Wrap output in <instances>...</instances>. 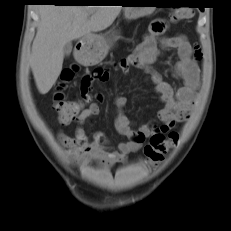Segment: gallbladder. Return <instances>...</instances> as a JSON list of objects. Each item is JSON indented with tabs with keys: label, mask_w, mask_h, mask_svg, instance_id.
I'll use <instances>...</instances> for the list:
<instances>
[{
	"label": "gallbladder",
	"mask_w": 231,
	"mask_h": 231,
	"mask_svg": "<svg viewBox=\"0 0 231 231\" xmlns=\"http://www.w3.org/2000/svg\"><path fill=\"white\" fill-rule=\"evenodd\" d=\"M71 51H72V43L71 42H67L64 45L63 53H64L65 56H69L71 54Z\"/></svg>",
	"instance_id": "1"
}]
</instances>
